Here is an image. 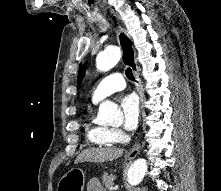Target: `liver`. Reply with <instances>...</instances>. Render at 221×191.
Instances as JSON below:
<instances>
[{"label":"liver","instance_id":"liver-1","mask_svg":"<svg viewBox=\"0 0 221 191\" xmlns=\"http://www.w3.org/2000/svg\"><path fill=\"white\" fill-rule=\"evenodd\" d=\"M120 148H90L82 151L76 158L75 164L82 162H105L115 160L123 155Z\"/></svg>","mask_w":221,"mask_h":191}]
</instances>
